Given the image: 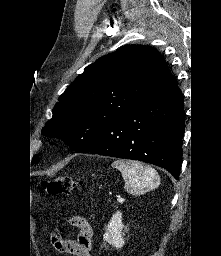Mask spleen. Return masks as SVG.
<instances>
[{"label": "spleen", "instance_id": "3e777b00", "mask_svg": "<svg viewBox=\"0 0 221 256\" xmlns=\"http://www.w3.org/2000/svg\"><path fill=\"white\" fill-rule=\"evenodd\" d=\"M112 167L121 172L125 181L124 189L131 195H142L160 184L158 173L149 165L137 161L116 160Z\"/></svg>", "mask_w": 221, "mask_h": 256}]
</instances>
